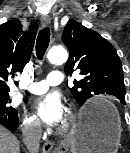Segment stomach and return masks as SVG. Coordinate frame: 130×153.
<instances>
[{"instance_id": "0dacf381", "label": "stomach", "mask_w": 130, "mask_h": 153, "mask_svg": "<svg viewBox=\"0 0 130 153\" xmlns=\"http://www.w3.org/2000/svg\"><path fill=\"white\" fill-rule=\"evenodd\" d=\"M89 108L106 109L108 112L85 120L84 113ZM121 132L117 109L110 102L95 99L84 107L63 147H69L72 153H117Z\"/></svg>"}]
</instances>
